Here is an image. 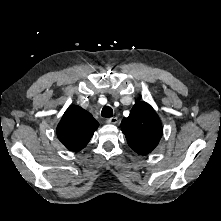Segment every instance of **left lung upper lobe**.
Segmentation results:
<instances>
[{"label":"left lung upper lobe","instance_id":"obj_1","mask_svg":"<svg viewBox=\"0 0 221 221\" xmlns=\"http://www.w3.org/2000/svg\"><path fill=\"white\" fill-rule=\"evenodd\" d=\"M128 145L138 154L153 151L162 136V125L154 109L146 102L135 104L129 117L121 122Z\"/></svg>","mask_w":221,"mask_h":221}]
</instances>
